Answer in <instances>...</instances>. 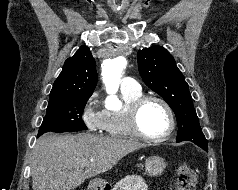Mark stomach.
<instances>
[{
    "mask_svg": "<svg viewBox=\"0 0 238 190\" xmlns=\"http://www.w3.org/2000/svg\"><path fill=\"white\" fill-rule=\"evenodd\" d=\"M165 168L166 162L162 157L151 156L145 161V171L151 177L161 175ZM104 185L105 182L102 179H95L90 183V187H92L94 190H97V188L103 190Z\"/></svg>",
    "mask_w": 238,
    "mask_h": 190,
    "instance_id": "1",
    "label": "stomach"
}]
</instances>
